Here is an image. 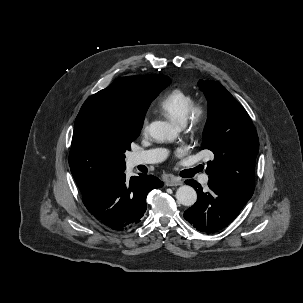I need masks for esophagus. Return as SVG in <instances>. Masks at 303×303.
<instances>
[{"label": "esophagus", "mask_w": 303, "mask_h": 303, "mask_svg": "<svg viewBox=\"0 0 303 303\" xmlns=\"http://www.w3.org/2000/svg\"><path fill=\"white\" fill-rule=\"evenodd\" d=\"M183 182L179 179V178H172V179H168L166 182H165V185L166 186H180L182 185Z\"/></svg>", "instance_id": "34e87169"}]
</instances>
